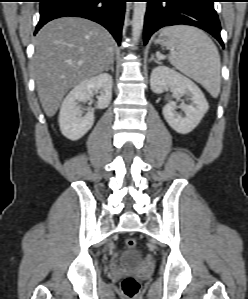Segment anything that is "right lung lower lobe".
Masks as SVG:
<instances>
[{
    "label": "right lung lower lobe",
    "instance_id": "obj_1",
    "mask_svg": "<svg viewBox=\"0 0 248 299\" xmlns=\"http://www.w3.org/2000/svg\"><path fill=\"white\" fill-rule=\"evenodd\" d=\"M125 2L126 0H40V20L35 33L53 19L76 16L103 25L120 45Z\"/></svg>",
    "mask_w": 248,
    "mask_h": 299
}]
</instances>
